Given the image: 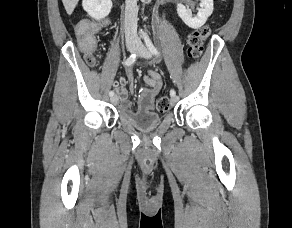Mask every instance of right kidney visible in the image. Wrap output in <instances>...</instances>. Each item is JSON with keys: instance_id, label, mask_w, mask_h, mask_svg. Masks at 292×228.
<instances>
[{"instance_id": "ca27d5eb", "label": "right kidney", "mask_w": 292, "mask_h": 228, "mask_svg": "<svg viewBox=\"0 0 292 228\" xmlns=\"http://www.w3.org/2000/svg\"><path fill=\"white\" fill-rule=\"evenodd\" d=\"M83 9L90 17L101 20L108 16L112 8L111 0H83Z\"/></svg>"}]
</instances>
